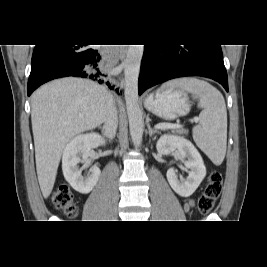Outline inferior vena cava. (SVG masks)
I'll return each instance as SVG.
<instances>
[{
  "instance_id": "602c4592",
  "label": "inferior vena cava",
  "mask_w": 267,
  "mask_h": 267,
  "mask_svg": "<svg viewBox=\"0 0 267 267\" xmlns=\"http://www.w3.org/2000/svg\"><path fill=\"white\" fill-rule=\"evenodd\" d=\"M117 126H118L117 110L114 106V102L111 97L108 102V113L105 118L103 126L104 135L109 139H113L116 134Z\"/></svg>"
}]
</instances>
